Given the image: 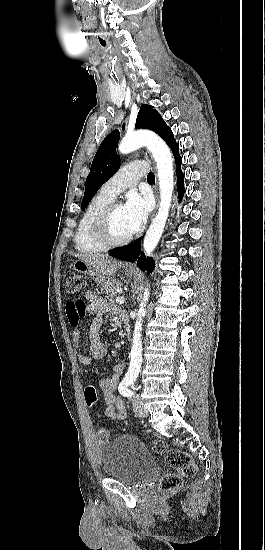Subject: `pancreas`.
Returning a JSON list of instances; mask_svg holds the SVG:
<instances>
[{
    "label": "pancreas",
    "mask_w": 265,
    "mask_h": 550,
    "mask_svg": "<svg viewBox=\"0 0 265 550\" xmlns=\"http://www.w3.org/2000/svg\"><path fill=\"white\" fill-rule=\"evenodd\" d=\"M121 286H122V282L119 280L113 279V280L107 281L102 286L103 294L107 299L112 301L118 296L117 289L120 288Z\"/></svg>",
    "instance_id": "obj_1"
}]
</instances>
